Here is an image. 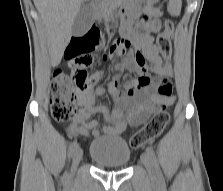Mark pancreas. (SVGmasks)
Listing matches in <instances>:
<instances>
[{
	"mask_svg": "<svg viewBox=\"0 0 223 191\" xmlns=\"http://www.w3.org/2000/svg\"><path fill=\"white\" fill-rule=\"evenodd\" d=\"M122 0H100L96 6V11L101 13V17L108 21L113 17L114 11L118 8Z\"/></svg>",
	"mask_w": 223,
	"mask_h": 191,
	"instance_id": "obj_1",
	"label": "pancreas"
}]
</instances>
